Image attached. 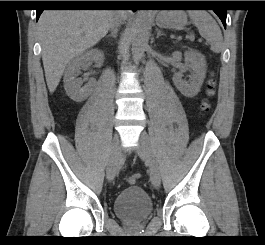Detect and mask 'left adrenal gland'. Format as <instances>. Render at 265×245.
<instances>
[{"mask_svg":"<svg viewBox=\"0 0 265 245\" xmlns=\"http://www.w3.org/2000/svg\"><path fill=\"white\" fill-rule=\"evenodd\" d=\"M161 35H163V34L161 33V30H158V29H157V38H159Z\"/></svg>","mask_w":265,"mask_h":245,"instance_id":"obj_1","label":"left adrenal gland"}]
</instances>
